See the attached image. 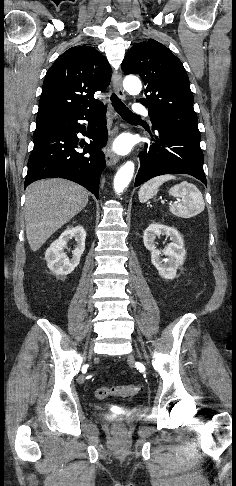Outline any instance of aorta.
I'll return each mask as SVG.
<instances>
[{
  "mask_svg": "<svg viewBox=\"0 0 236 486\" xmlns=\"http://www.w3.org/2000/svg\"><path fill=\"white\" fill-rule=\"evenodd\" d=\"M123 86L130 94H138L141 91L142 85L140 80L134 76H128L124 79ZM134 174V163L132 161L126 162L115 175L114 190L116 193H123L125 188L129 185Z\"/></svg>",
  "mask_w": 236,
  "mask_h": 486,
  "instance_id": "762f6f07",
  "label": "aorta"
}]
</instances>
